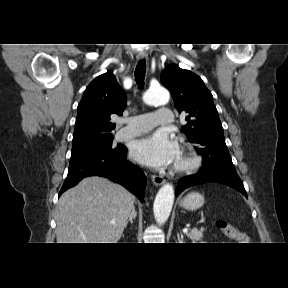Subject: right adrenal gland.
<instances>
[{
    "instance_id": "obj_1",
    "label": "right adrenal gland",
    "mask_w": 288,
    "mask_h": 288,
    "mask_svg": "<svg viewBox=\"0 0 288 288\" xmlns=\"http://www.w3.org/2000/svg\"><path fill=\"white\" fill-rule=\"evenodd\" d=\"M136 218V211H135V207H133V209H132V212H131V214H130V216H129V219H128V221H127V223H126V226H127V224L130 222L131 224H133V219H135Z\"/></svg>"
}]
</instances>
